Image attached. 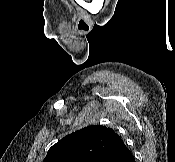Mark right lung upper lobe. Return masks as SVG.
I'll return each mask as SVG.
<instances>
[{"label": "right lung upper lobe", "mask_w": 175, "mask_h": 162, "mask_svg": "<svg viewBox=\"0 0 175 162\" xmlns=\"http://www.w3.org/2000/svg\"><path fill=\"white\" fill-rule=\"evenodd\" d=\"M128 152L129 149L113 129L92 125L54 144L43 162H115Z\"/></svg>", "instance_id": "1"}]
</instances>
